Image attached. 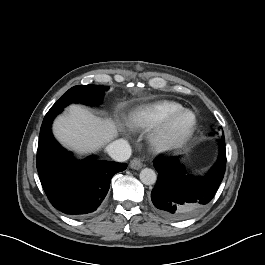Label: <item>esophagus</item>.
I'll return each mask as SVG.
<instances>
[{
    "mask_svg": "<svg viewBox=\"0 0 265 265\" xmlns=\"http://www.w3.org/2000/svg\"><path fill=\"white\" fill-rule=\"evenodd\" d=\"M130 167L134 170H139L143 167L142 160L140 158H134L130 162Z\"/></svg>",
    "mask_w": 265,
    "mask_h": 265,
    "instance_id": "esophagus-1",
    "label": "esophagus"
}]
</instances>
